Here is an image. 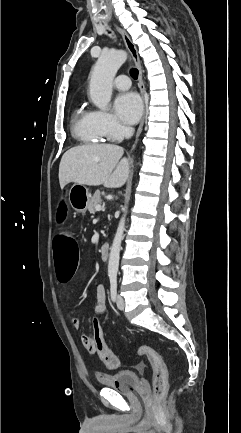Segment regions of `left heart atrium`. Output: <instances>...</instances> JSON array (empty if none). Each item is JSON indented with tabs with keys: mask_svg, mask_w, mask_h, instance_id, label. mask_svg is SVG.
<instances>
[{
	"mask_svg": "<svg viewBox=\"0 0 241 433\" xmlns=\"http://www.w3.org/2000/svg\"><path fill=\"white\" fill-rule=\"evenodd\" d=\"M113 106L117 117L126 124L136 123L143 111L142 101L134 92L119 94Z\"/></svg>",
	"mask_w": 241,
	"mask_h": 433,
	"instance_id": "39dd6f15",
	"label": "left heart atrium"
}]
</instances>
